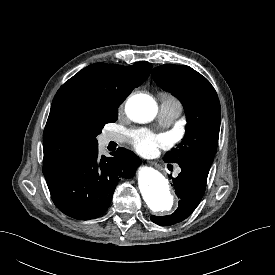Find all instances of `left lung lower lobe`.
<instances>
[{
  "label": "left lung lower lobe",
  "mask_w": 275,
  "mask_h": 275,
  "mask_svg": "<svg viewBox=\"0 0 275 275\" xmlns=\"http://www.w3.org/2000/svg\"><path fill=\"white\" fill-rule=\"evenodd\" d=\"M179 166L181 172L176 178H172L175 192L180 199L179 206L169 216H151V220L158 225L169 226L183 221L195 210L204 195L210 168L198 163Z\"/></svg>",
  "instance_id": "0a47b994"
}]
</instances>
